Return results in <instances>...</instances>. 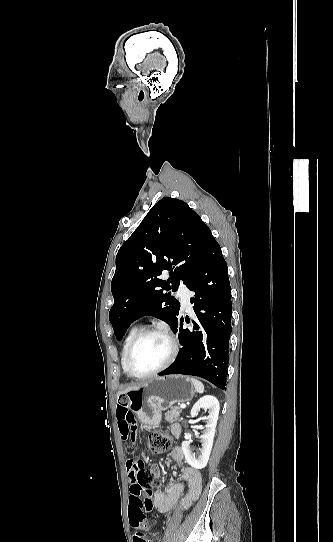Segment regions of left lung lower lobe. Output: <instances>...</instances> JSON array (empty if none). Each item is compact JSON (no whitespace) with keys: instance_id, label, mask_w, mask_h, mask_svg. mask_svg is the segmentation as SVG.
Wrapping results in <instances>:
<instances>
[{"instance_id":"obj_1","label":"left lung lower lobe","mask_w":333,"mask_h":542,"mask_svg":"<svg viewBox=\"0 0 333 542\" xmlns=\"http://www.w3.org/2000/svg\"><path fill=\"white\" fill-rule=\"evenodd\" d=\"M187 288L195 292L193 310L197 322L183 329V318L174 331L181 348L176 360L159 375L185 374L202 377L221 389H226L228 347L231 329V286L227 264L221 248L212 238L204 259L188 281ZM189 323V317H186Z\"/></svg>"}]
</instances>
